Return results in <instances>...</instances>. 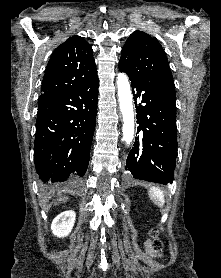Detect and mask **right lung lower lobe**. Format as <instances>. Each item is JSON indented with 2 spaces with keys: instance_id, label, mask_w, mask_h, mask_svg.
Masks as SVG:
<instances>
[{
  "instance_id": "right-lung-lower-lobe-1",
  "label": "right lung lower lobe",
  "mask_w": 221,
  "mask_h": 278,
  "mask_svg": "<svg viewBox=\"0 0 221 278\" xmlns=\"http://www.w3.org/2000/svg\"><path fill=\"white\" fill-rule=\"evenodd\" d=\"M98 76L39 96L35 168L44 183L82 177L88 167L97 112Z\"/></svg>"
}]
</instances>
